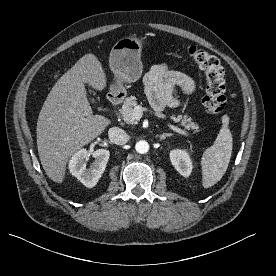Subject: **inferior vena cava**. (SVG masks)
I'll return each instance as SVG.
<instances>
[{"mask_svg":"<svg viewBox=\"0 0 276 276\" xmlns=\"http://www.w3.org/2000/svg\"><path fill=\"white\" fill-rule=\"evenodd\" d=\"M110 140L118 145L126 144L129 140L128 134L119 127H112L108 131Z\"/></svg>","mask_w":276,"mask_h":276,"instance_id":"obj_1","label":"inferior vena cava"}]
</instances>
